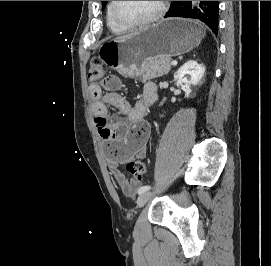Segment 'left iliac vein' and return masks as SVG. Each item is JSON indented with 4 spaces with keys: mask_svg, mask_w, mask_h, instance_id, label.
I'll return each mask as SVG.
<instances>
[{
    "mask_svg": "<svg viewBox=\"0 0 271 266\" xmlns=\"http://www.w3.org/2000/svg\"><path fill=\"white\" fill-rule=\"evenodd\" d=\"M151 198V194L149 192L142 193L137 199V205L139 207H143Z\"/></svg>",
    "mask_w": 271,
    "mask_h": 266,
    "instance_id": "4c4485c4",
    "label": "left iliac vein"
}]
</instances>
